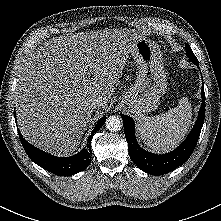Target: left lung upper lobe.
<instances>
[{
  "instance_id": "1",
  "label": "left lung upper lobe",
  "mask_w": 221,
  "mask_h": 221,
  "mask_svg": "<svg viewBox=\"0 0 221 221\" xmlns=\"http://www.w3.org/2000/svg\"><path fill=\"white\" fill-rule=\"evenodd\" d=\"M185 49H186V53L189 57V60L192 63H194L196 66H198L199 65L198 60H197L196 56L194 55L193 51L191 50L190 46L188 45V43H186Z\"/></svg>"
}]
</instances>
